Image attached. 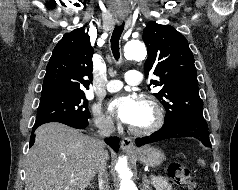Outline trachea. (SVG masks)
<instances>
[{
  "instance_id": "trachea-1",
  "label": "trachea",
  "mask_w": 238,
  "mask_h": 190,
  "mask_svg": "<svg viewBox=\"0 0 238 190\" xmlns=\"http://www.w3.org/2000/svg\"><path fill=\"white\" fill-rule=\"evenodd\" d=\"M124 30V22L121 25L115 26L111 36V49L116 60L119 59V39Z\"/></svg>"
}]
</instances>
